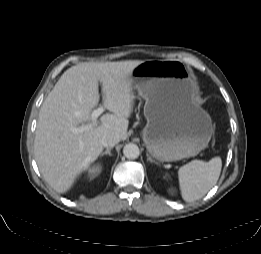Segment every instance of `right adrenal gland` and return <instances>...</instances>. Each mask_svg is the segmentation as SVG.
<instances>
[{
	"mask_svg": "<svg viewBox=\"0 0 261 254\" xmlns=\"http://www.w3.org/2000/svg\"><path fill=\"white\" fill-rule=\"evenodd\" d=\"M111 150H112V147L107 148V149L101 154V157L104 156V155H109V156H111Z\"/></svg>",
	"mask_w": 261,
	"mask_h": 254,
	"instance_id": "right-adrenal-gland-1",
	"label": "right adrenal gland"
}]
</instances>
